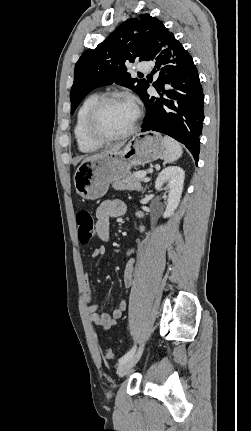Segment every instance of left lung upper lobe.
Masks as SVG:
<instances>
[{"instance_id": "5c2ea615", "label": "left lung upper lobe", "mask_w": 251, "mask_h": 431, "mask_svg": "<svg viewBox=\"0 0 251 431\" xmlns=\"http://www.w3.org/2000/svg\"><path fill=\"white\" fill-rule=\"evenodd\" d=\"M170 34L164 24L149 14L123 22L95 49L85 51L74 69L70 93L71 114L93 89L116 83L136 92L140 97L147 85L145 79H132L127 62L149 61L153 48Z\"/></svg>"}]
</instances>
